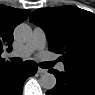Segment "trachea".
I'll return each mask as SVG.
<instances>
[{
    "mask_svg": "<svg viewBox=\"0 0 95 95\" xmlns=\"http://www.w3.org/2000/svg\"><path fill=\"white\" fill-rule=\"evenodd\" d=\"M11 61L12 62H15V63H20L21 60L17 57H14V58H11ZM41 68H45V69H49L53 66V63L52 62H43L40 64Z\"/></svg>",
    "mask_w": 95,
    "mask_h": 95,
    "instance_id": "obj_1",
    "label": "trachea"
}]
</instances>
